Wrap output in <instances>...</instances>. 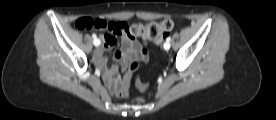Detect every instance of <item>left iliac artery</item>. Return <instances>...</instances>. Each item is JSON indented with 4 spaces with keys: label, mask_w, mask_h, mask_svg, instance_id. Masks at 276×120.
<instances>
[{
    "label": "left iliac artery",
    "mask_w": 276,
    "mask_h": 120,
    "mask_svg": "<svg viewBox=\"0 0 276 120\" xmlns=\"http://www.w3.org/2000/svg\"><path fill=\"white\" fill-rule=\"evenodd\" d=\"M170 40H171V37L166 38V42H170Z\"/></svg>",
    "instance_id": "1"
}]
</instances>
